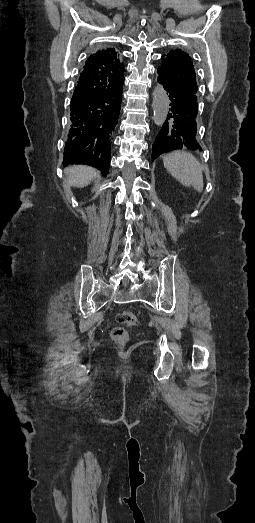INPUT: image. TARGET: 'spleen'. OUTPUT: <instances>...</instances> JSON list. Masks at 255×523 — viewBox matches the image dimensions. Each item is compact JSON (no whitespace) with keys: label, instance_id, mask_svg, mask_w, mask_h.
<instances>
[{"label":"spleen","instance_id":"3e777b00","mask_svg":"<svg viewBox=\"0 0 255 523\" xmlns=\"http://www.w3.org/2000/svg\"><path fill=\"white\" fill-rule=\"evenodd\" d=\"M164 168L183 186H193L197 192L203 190V176L199 162L188 152H172L163 158Z\"/></svg>","mask_w":255,"mask_h":523}]
</instances>
